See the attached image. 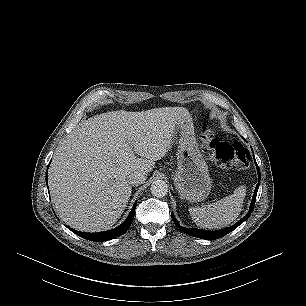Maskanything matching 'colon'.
Returning <instances> with one entry per match:
<instances>
[{"mask_svg": "<svg viewBox=\"0 0 306 306\" xmlns=\"http://www.w3.org/2000/svg\"><path fill=\"white\" fill-rule=\"evenodd\" d=\"M201 141L206 157L214 160L218 166L245 168L249 165V150L239 141L231 144L218 142L212 127L207 126L203 129Z\"/></svg>", "mask_w": 306, "mask_h": 306, "instance_id": "colon-1", "label": "colon"}]
</instances>
